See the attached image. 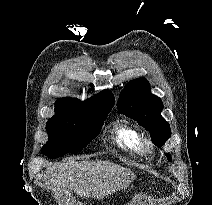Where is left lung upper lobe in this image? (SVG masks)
Here are the masks:
<instances>
[{
	"label": "left lung upper lobe",
	"mask_w": 212,
	"mask_h": 205,
	"mask_svg": "<svg viewBox=\"0 0 212 205\" xmlns=\"http://www.w3.org/2000/svg\"><path fill=\"white\" fill-rule=\"evenodd\" d=\"M118 111L134 120L150 132L152 141L162 146L171 136L169 123L161 116L162 101L151 94L150 85L144 78L130 81L122 90ZM169 160L171 156L167 154Z\"/></svg>",
	"instance_id": "obj_1"
}]
</instances>
